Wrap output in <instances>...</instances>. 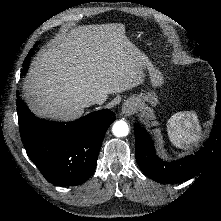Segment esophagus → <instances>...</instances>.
<instances>
[{"instance_id":"obj_1","label":"esophagus","mask_w":221,"mask_h":221,"mask_svg":"<svg viewBox=\"0 0 221 221\" xmlns=\"http://www.w3.org/2000/svg\"><path fill=\"white\" fill-rule=\"evenodd\" d=\"M136 112V104L133 100H127L122 106V114L131 116Z\"/></svg>"}]
</instances>
